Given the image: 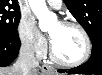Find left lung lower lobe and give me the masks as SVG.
<instances>
[{"mask_svg": "<svg viewBox=\"0 0 102 75\" xmlns=\"http://www.w3.org/2000/svg\"><path fill=\"white\" fill-rule=\"evenodd\" d=\"M92 48V54L90 59L84 64L69 69H59L60 73H72V74H102V40L94 41Z\"/></svg>", "mask_w": 102, "mask_h": 75, "instance_id": "left-lung-lower-lobe-1", "label": "left lung lower lobe"}]
</instances>
